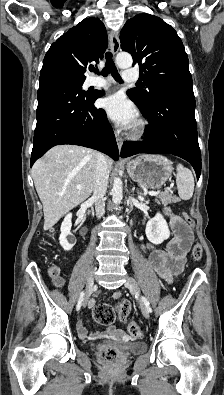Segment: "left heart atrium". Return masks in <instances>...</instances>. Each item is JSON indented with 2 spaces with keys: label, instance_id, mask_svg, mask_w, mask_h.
Masks as SVG:
<instances>
[{
  "label": "left heart atrium",
  "instance_id": "left-heart-atrium-1",
  "mask_svg": "<svg viewBox=\"0 0 224 395\" xmlns=\"http://www.w3.org/2000/svg\"><path fill=\"white\" fill-rule=\"evenodd\" d=\"M102 108L113 121L123 126L132 125L137 117L133 105L120 93L103 99Z\"/></svg>",
  "mask_w": 224,
  "mask_h": 395
}]
</instances>
